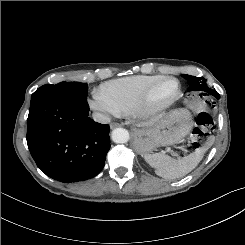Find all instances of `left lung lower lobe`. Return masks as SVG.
<instances>
[{
  "label": "left lung lower lobe",
  "mask_w": 245,
  "mask_h": 245,
  "mask_svg": "<svg viewBox=\"0 0 245 245\" xmlns=\"http://www.w3.org/2000/svg\"><path fill=\"white\" fill-rule=\"evenodd\" d=\"M212 94H213V96L216 97L217 99L220 98V95H219L217 92H213Z\"/></svg>",
  "instance_id": "left-lung-lower-lobe-1"
}]
</instances>
